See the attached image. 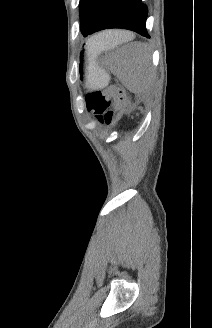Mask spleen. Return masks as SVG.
<instances>
[{
    "mask_svg": "<svg viewBox=\"0 0 212 328\" xmlns=\"http://www.w3.org/2000/svg\"><path fill=\"white\" fill-rule=\"evenodd\" d=\"M119 42L112 39L111 31L101 32L87 42V52L97 57L101 52L114 49ZM128 56L122 60L118 77L131 92L144 93L153 85V71L146 48L139 43L128 47Z\"/></svg>",
    "mask_w": 212,
    "mask_h": 328,
    "instance_id": "spleen-1",
    "label": "spleen"
}]
</instances>
